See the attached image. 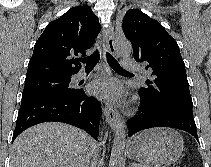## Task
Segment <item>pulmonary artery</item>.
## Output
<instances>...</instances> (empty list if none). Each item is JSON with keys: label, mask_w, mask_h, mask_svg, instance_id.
<instances>
[{"label": "pulmonary artery", "mask_w": 211, "mask_h": 167, "mask_svg": "<svg viewBox=\"0 0 211 167\" xmlns=\"http://www.w3.org/2000/svg\"><path fill=\"white\" fill-rule=\"evenodd\" d=\"M122 66L125 68V69H128V70H132L136 67V62L132 59V58H129V57H123L122 58ZM85 76V73L84 72H79L76 76H75V79L76 80H80L82 79L83 77Z\"/></svg>", "instance_id": "e3ab8cb5"}]
</instances>
